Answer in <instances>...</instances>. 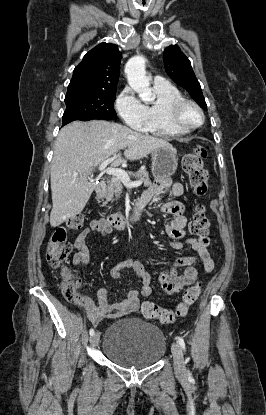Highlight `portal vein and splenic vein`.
<instances>
[{"instance_id": "obj_1", "label": "portal vein and splenic vein", "mask_w": 266, "mask_h": 415, "mask_svg": "<svg viewBox=\"0 0 266 415\" xmlns=\"http://www.w3.org/2000/svg\"><path fill=\"white\" fill-rule=\"evenodd\" d=\"M117 158V155H114L113 157L106 159L105 161H103L98 169L99 171L106 173L108 175H112V176H116L118 177L122 183L128 187V188H133V187H138L142 184V181H131L127 172H125L123 169H120L118 167H107L109 165V163H111L114 159ZM74 176H78L77 173L74 174Z\"/></svg>"}]
</instances>
